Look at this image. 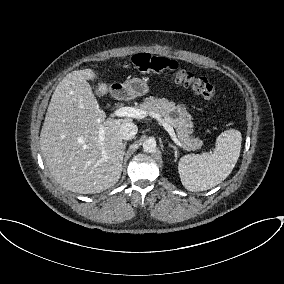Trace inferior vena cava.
Masks as SVG:
<instances>
[{
  "mask_svg": "<svg viewBox=\"0 0 284 284\" xmlns=\"http://www.w3.org/2000/svg\"><path fill=\"white\" fill-rule=\"evenodd\" d=\"M138 128L133 122H124L120 126V135L124 140H131L137 134Z\"/></svg>",
  "mask_w": 284,
  "mask_h": 284,
  "instance_id": "inferior-vena-cava-1",
  "label": "inferior vena cava"
}]
</instances>
